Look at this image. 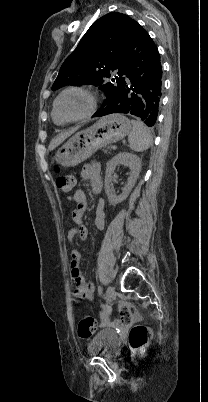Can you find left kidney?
I'll list each match as a JSON object with an SVG mask.
<instances>
[{
	"mask_svg": "<svg viewBox=\"0 0 208 402\" xmlns=\"http://www.w3.org/2000/svg\"><path fill=\"white\" fill-rule=\"evenodd\" d=\"M119 164H123V166H129L131 172L129 174L127 184H125L123 188L122 194H120V196H114L113 192H111L110 190V186L112 178H114V170H116V166H119ZM140 170V158H138L136 154H129V152H120V154H117V156H114V158H112V160L108 162L105 176V192L112 206H115V204H119V202H123V200H126V198H128L133 186H135V182L139 176Z\"/></svg>",
	"mask_w": 208,
	"mask_h": 402,
	"instance_id": "left-kidney-1",
	"label": "left kidney"
}]
</instances>
